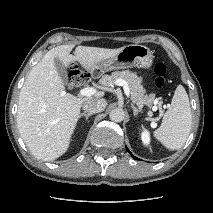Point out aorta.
<instances>
[{
    "mask_svg": "<svg viewBox=\"0 0 213 213\" xmlns=\"http://www.w3.org/2000/svg\"><path fill=\"white\" fill-rule=\"evenodd\" d=\"M125 117V112L122 108H115L109 113V118L114 122H121Z\"/></svg>",
    "mask_w": 213,
    "mask_h": 213,
    "instance_id": "762f6f07",
    "label": "aorta"
}]
</instances>
